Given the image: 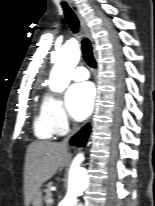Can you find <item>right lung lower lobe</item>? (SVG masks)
<instances>
[{
  "mask_svg": "<svg viewBox=\"0 0 155 206\" xmlns=\"http://www.w3.org/2000/svg\"><path fill=\"white\" fill-rule=\"evenodd\" d=\"M90 133V126L87 124L84 126L75 136L71 139V144L79 146L80 144L84 145L88 135Z\"/></svg>",
  "mask_w": 155,
  "mask_h": 206,
  "instance_id": "obj_1",
  "label": "right lung lower lobe"
}]
</instances>
